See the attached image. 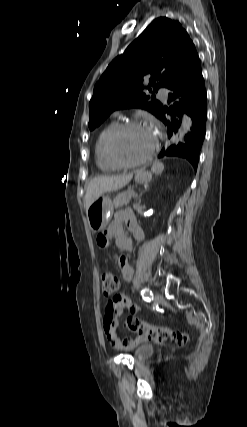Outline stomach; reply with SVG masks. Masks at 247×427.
Returning a JSON list of instances; mask_svg holds the SVG:
<instances>
[{
    "label": "stomach",
    "mask_w": 247,
    "mask_h": 427,
    "mask_svg": "<svg viewBox=\"0 0 247 427\" xmlns=\"http://www.w3.org/2000/svg\"><path fill=\"white\" fill-rule=\"evenodd\" d=\"M163 167L152 169L154 173L162 172ZM152 178L151 172H139L135 177V181L139 184H147ZM113 203L108 195L99 196L87 209V220L92 231L98 232L103 230L112 215Z\"/></svg>",
    "instance_id": "0dacf381"
}]
</instances>
